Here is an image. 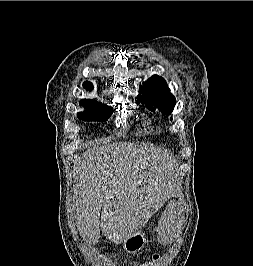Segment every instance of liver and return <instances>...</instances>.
<instances>
[{
    "label": "liver",
    "mask_w": 253,
    "mask_h": 266,
    "mask_svg": "<svg viewBox=\"0 0 253 266\" xmlns=\"http://www.w3.org/2000/svg\"><path fill=\"white\" fill-rule=\"evenodd\" d=\"M168 160L159 149L129 142L94 146L82 154L77 161L75 217L87 244L97 243L100 232L123 244L147 224Z\"/></svg>",
    "instance_id": "1"
}]
</instances>
